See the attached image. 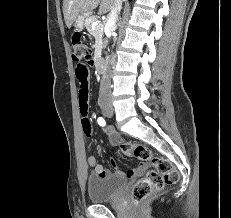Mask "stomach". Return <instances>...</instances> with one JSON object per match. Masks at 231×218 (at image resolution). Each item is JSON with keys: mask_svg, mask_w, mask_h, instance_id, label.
I'll use <instances>...</instances> for the list:
<instances>
[{"mask_svg": "<svg viewBox=\"0 0 231 218\" xmlns=\"http://www.w3.org/2000/svg\"><path fill=\"white\" fill-rule=\"evenodd\" d=\"M86 17L85 14L79 15L75 21H74V26L77 30L82 31L84 28V18Z\"/></svg>", "mask_w": 231, "mask_h": 218, "instance_id": "obj_1", "label": "stomach"}]
</instances>
